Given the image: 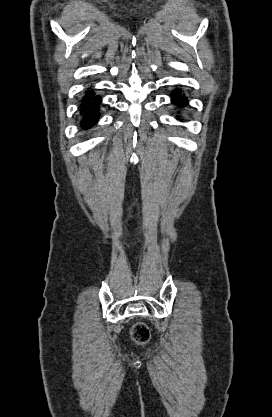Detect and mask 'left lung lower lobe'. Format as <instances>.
<instances>
[{
  "mask_svg": "<svg viewBox=\"0 0 272 417\" xmlns=\"http://www.w3.org/2000/svg\"><path fill=\"white\" fill-rule=\"evenodd\" d=\"M171 101L173 102V104L175 106H177L178 108L183 109L185 106H187V98L185 97V95L179 91L178 89H175L171 95Z\"/></svg>",
  "mask_w": 272,
  "mask_h": 417,
  "instance_id": "obj_1",
  "label": "left lung lower lobe"
}]
</instances>
